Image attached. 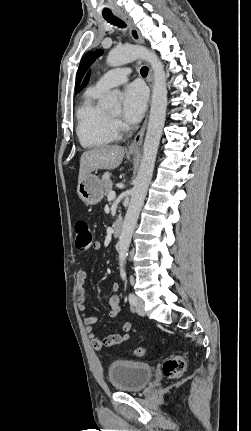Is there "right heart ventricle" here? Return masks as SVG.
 I'll return each instance as SVG.
<instances>
[{
	"label": "right heart ventricle",
	"mask_w": 251,
	"mask_h": 431,
	"mask_svg": "<svg viewBox=\"0 0 251 431\" xmlns=\"http://www.w3.org/2000/svg\"><path fill=\"white\" fill-rule=\"evenodd\" d=\"M104 91L88 88L76 111L77 136L86 148L103 147L118 139L115 123L97 103Z\"/></svg>",
	"instance_id": "right-heart-ventricle-1"
}]
</instances>
